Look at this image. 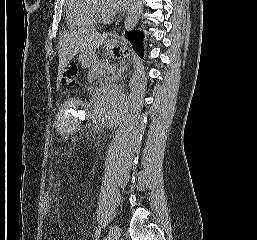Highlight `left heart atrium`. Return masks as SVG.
<instances>
[{"mask_svg":"<svg viewBox=\"0 0 257 240\" xmlns=\"http://www.w3.org/2000/svg\"><path fill=\"white\" fill-rule=\"evenodd\" d=\"M128 2L129 0H108V5L112 10H121Z\"/></svg>","mask_w":257,"mask_h":240,"instance_id":"39dd6f15","label":"left heart atrium"}]
</instances>
